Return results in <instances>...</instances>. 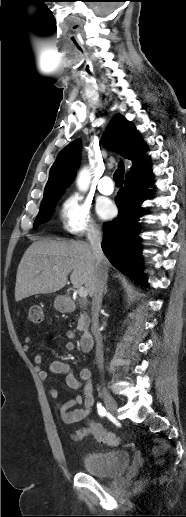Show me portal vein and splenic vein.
Returning a JSON list of instances; mask_svg holds the SVG:
<instances>
[{"instance_id":"portal-vein-and-splenic-vein-1","label":"portal vein and splenic vein","mask_w":186,"mask_h":517,"mask_svg":"<svg viewBox=\"0 0 186 517\" xmlns=\"http://www.w3.org/2000/svg\"><path fill=\"white\" fill-rule=\"evenodd\" d=\"M78 294H79V296H80L81 298H86V297H87V295H88V292H87V290H86L84 287L80 286V287L78 288Z\"/></svg>"}]
</instances>
